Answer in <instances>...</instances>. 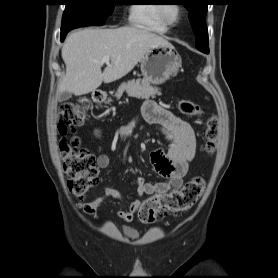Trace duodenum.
Listing matches in <instances>:
<instances>
[{
    "label": "duodenum",
    "instance_id": "duodenum-1",
    "mask_svg": "<svg viewBox=\"0 0 278 278\" xmlns=\"http://www.w3.org/2000/svg\"><path fill=\"white\" fill-rule=\"evenodd\" d=\"M106 97V94L105 92L101 91V90H96L94 93H93V100L94 102L96 103H101Z\"/></svg>",
    "mask_w": 278,
    "mask_h": 278
}]
</instances>
